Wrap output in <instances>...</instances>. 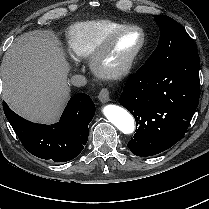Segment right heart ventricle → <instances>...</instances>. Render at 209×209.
<instances>
[{
  "instance_id": "e07e8e85",
  "label": "right heart ventricle",
  "mask_w": 209,
  "mask_h": 209,
  "mask_svg": "<svg viewBox=\"0 0 209 209\" xmlns=\"http://www.w3.org/2000/svg\"><path fill=\"white\" fill-rule=\"evenodd\" d=\"M125 25L131 24L108 19L75 23L65 33L67 49L74 58L91 57L112 30Z\"/></svg>"
}]
</instances>
